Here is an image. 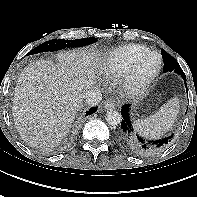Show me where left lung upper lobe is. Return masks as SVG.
<instances>
[{"label":"left lung upper lobe","mask_w":197,"mask_h":197,"mask_svg":"<svg viewBox=\"0 0 197 197\" xmlns=\"http://www.w3.org/2000/svg\"><path fill=\"white\" fill-rule=\"evenodd\" d=\"M161 54L164 61L163 72L174 71L180 74L182 78L185 77V74L178 62L171 55H169L165 50H161Z\"/></svg>","instance_id":"left-lung-upper-lobe-1"}]
</instances>
